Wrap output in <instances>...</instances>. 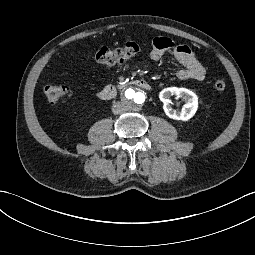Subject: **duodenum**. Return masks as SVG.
<instances>
[{"instance_id": "duodenum-1", "label": "duodenum", "mask_w": 255, "mask_h": 255, "mask_svg": "<svg viewBox=\"0 0 255 255\" xmlns=\"http://www.w3.org/2000/svg\"><path fill=\"white\" fill-rule=\"evenodd\" d=\"M126 87H138L143 90H149L151 88L148 81L142 78L134 79L128 83L121 84L119 86H108L101 89L98 92V96L102 100H111L114 99L119 90L124 89Z\"/></svg>"}]
</instances>
